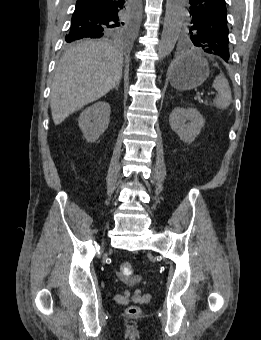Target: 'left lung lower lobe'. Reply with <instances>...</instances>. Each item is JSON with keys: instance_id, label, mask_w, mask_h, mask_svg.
<instances>
[{"instance_id": "obj_1", "label": "left lung lower lobe", "mask_w": 261, "mask_h": 340, "mask_svg": "<svg viewBox=\"0 0 261 340\" xmlns=\"http://www.w3.org/2000/svg\"><path fill=\"white\" fill-rule=\"evenodd\" d=\"M189 4V13L193 17H208L210 15L223 17L227 15L225 0H189ZM226 62H230V58Z\"/></svg>"}]
</instances>
